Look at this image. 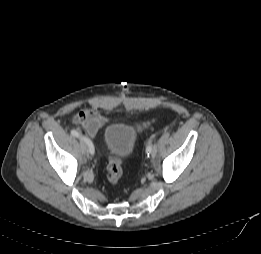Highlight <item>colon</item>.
<instances>
[{
  "label": "colon",
  "instance_id": "5ec220e1",
  "mask_svg": "<svg viewBox=\"0 0 261 254\" xmlns=\"http://www.w3.org/2000/svg\"><path fill=\"white\" fill-rule=\"evenodd\" d=\"M151 122H146L140 126V129L149 127ZM122 162L116 156H110L107 163V180L112 186H116L122 177Z\"/></svg>",
  "mask_w": 261,
  "mask_h": 254
}]
</instances>
